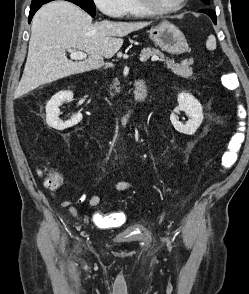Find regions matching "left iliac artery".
I'll use <instances>...</instances> for the list:
<instances>
[{"label": "left iliac artery", "instance_id": "44dca946", "mask_svg": "<svg viewBox=\"0 0 249 294\" xmlns=\"http://www.w3.org/2000/svg\"><path fill=\"white\" fill-rule=\"evenodd\" d=\"M167 245H168V247H169V250H171V246H170V242H169V240H167Z\"/></svg>", "mask_w": 249, "mask_h": 294}]
</instances>
